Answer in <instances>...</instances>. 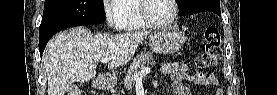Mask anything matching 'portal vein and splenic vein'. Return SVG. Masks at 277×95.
Segmentation results:
<instances>
[{
    "label": "portal vein and splenic vein",
    "instance_id": "obj_1",
    "mask_svg": "<svg viewBox=\"0 0 277 95\" xmlns=\"http://www.w3.org/2000/svg\"><path fill=\"white\" fill-rule=\"evenodd\" d=\"M111 60V57H106L104 59L101 60L102 63H107ZM150 72V68L146 67L144 69H142L139 73H136L134 75V79L135 81L141 80L145 75H147Z\"/></svg>",
    "mask_w": 277,
    "mask_h": 95
}]
</instances>
